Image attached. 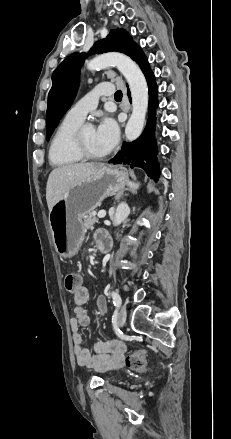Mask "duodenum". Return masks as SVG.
<instances>
[{"label":"duodenum","instance_id":"1","mask_svg":"<svg viewBox=\"0 0 231 439\" xmlns=\"http://www.w3.org/2000/svg\"><path fill=\"white\" fill-rule=\"evenodd\" d=\"M97 245L100 252L107 253L111 250L112 242L110 238H103Z\"/></svg>","mask_w":231,"mask_h":439}]
</instances>
